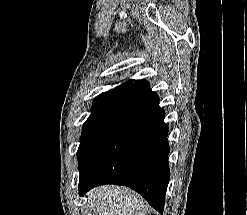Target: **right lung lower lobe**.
Returning a JSON list of instances; mask_svg holds the SVG:
<instances>
[{"label": "right lung lower lobe", "mask_w": 247, "mask_h": 215, "mask_svg": "<svg viewBox=\"0 0 247 215\" xmlns=\"http://www.w3.org/2000/svg\"><path fill=\"white\" fill-rule=\"evenodd\" d=\"M164 117L146 80L125 89L78 149L79 195L103 184L125 185L163 212L170 173Z\"/></svg>", "instance_id": "right-lung-lower-lobe-1"}]
</instances>
